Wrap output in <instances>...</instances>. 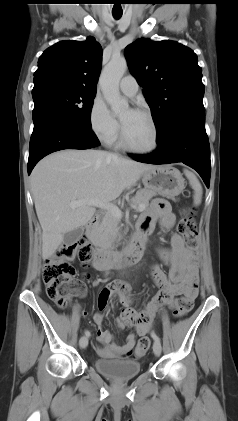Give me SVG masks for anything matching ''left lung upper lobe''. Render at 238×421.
Masks as SVG:
<instances>
[{"instance_id":"5c2ea615","label":"left lung upper lobe","mask_w":238,"mask_h":421,"mask_svg":"<svg viewBox=\"0 0 238 421\" xmlns=\"http://www.w3.org/2000/svg\"><path fill=\"white\" fill-rule=\"evenodd\" d=\"M131 73L143 87L157 128L164 135L181 117L205 112L197 55L174 41L140 39L125 48Z\"/></svg>"}]
</instances>
